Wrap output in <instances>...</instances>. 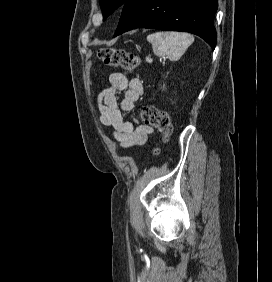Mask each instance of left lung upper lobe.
<instances>
[{
  "label": "left lung upper lobe",
  "mask_w": 272,
  "mask_h": 282,
  "mask_svg": "<svg viewBox=\"0 0 272 282\" xmlns=\"http://www.w3.org/2000/svg\"><path fill=\"white\" fill-rule=\"evenodd\" d=\"M127 0H99L102 8L103 20L112 14L118 7L124 5Z\"/></svg>",
  "instance_id": "1"
}]
</instances>
